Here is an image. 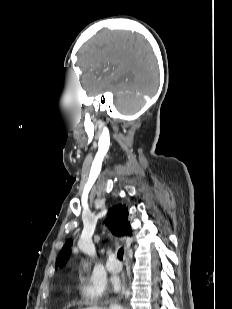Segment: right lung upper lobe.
Wrapping results in <instances>:
<instances>
[{
    "mask_svg": "<svg viewBox=\"0 0 232 309\" xmlns=\"http://www.w3.org/2000/svg\"><path fill=\"white\" fill-rule=\"evenodd\" d=\"M112 233L117 236L128 235L131 236L132 229L128 221V210L124 205L114 206L110 209L108 217L105 221ZM72 240H68L63 246L56 260V267H62L66 264L70 254V247Z\"/></svg>",
    "mask_w": 232,
    "mask_h": 309,
    "instance_id": "obj_1",
    "label": "right lung upper lobe"
}]
</instances>
